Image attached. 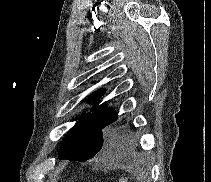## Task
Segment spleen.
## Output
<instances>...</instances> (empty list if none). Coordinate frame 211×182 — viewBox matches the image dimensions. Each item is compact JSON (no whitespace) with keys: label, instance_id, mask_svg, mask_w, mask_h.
<instances>
[{"label":"spleen","instance_id":"3e777b00","mask_svg":"<svg viewBox=\"0 0 211 182\" xmlns=\"http://www.w3.org/2000/svg\"><path fill=\"white\" fill-rule=\"evenodd\" d=\"M121 182H127V180L126 179H121Z\"/></svg>","mask_w":211,"mask_h":182}]
</instances>
